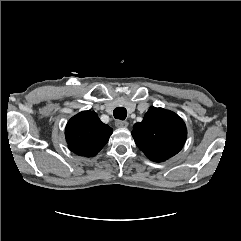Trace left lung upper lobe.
Masks as SVG:
<instances>
[{"label":"left lung upper lobe","instance_id":"left-lung-upper-lobe-1","mask_svg":"<svg viewBox=\"0 0 241 241\" xmlns=\"http://www.w3.org/2000/svg\"><path fill=\"white\" fill-rule=\"evenodd\" d=\"M132 136L139 149L150 160L162 162L182 149L187 129L176 113L150 107L143 121L133 126Z\"/></svg>","mask_w":241,"mask_h":241}]
</instances>
